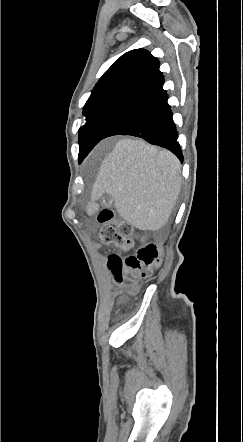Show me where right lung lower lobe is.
Returning a JSON list of instances; mask_svg holds the SVG:
<instances>
[{
	"instance_id": "98d812e1",
	"label": "right lung lower lobe",
	"mask_w": 243,
	"mask_h": 442,
	"mask_svg": "<svg viewBox=\"0 0 243 442\" xmlns=\"http://www.w3.org/2000/svg\"><path fill=\"white\" fill-rule=\"evenodd\" d=\"M164 77L138 87L122 98L102 119L79 163L102 139L114 135H132L173 152L182 162L183 155L173 113L163 89Z\"/></svg>"
}]
</instances>
